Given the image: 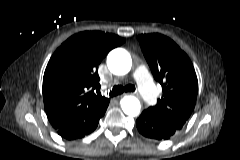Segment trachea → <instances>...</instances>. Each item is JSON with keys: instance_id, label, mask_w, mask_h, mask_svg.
I'll list each match as a JSON object with an SVG mask.
<instances>
[{"instance_id": "1", "label": "trachea", "mask_w": 240, "mask_h": 160, "mask_svg": "<svg viewBox=\"0 0 240 160\" xmlns=\"http://www.w3.org/2000/svg\"><path fill=\"white\" fill-rule=\"evenodd\" d=\"M135 91V86L134 85H126L125 87L121 85H117L113 87L112 91L109 92L110 96H117L122 94L123 92H134Z\"/></svg>"}]
</instances>
